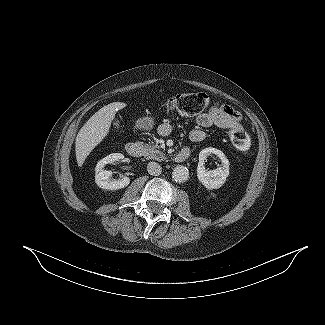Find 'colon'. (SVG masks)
<instances>
[{
  "label": "colon",
  "mask_w": 325,
  "mask_h": 325,
  "mask_svg": "<svg viewBox=\"0 0 325 325\" xmlns=\"http://www.w3.org/2000/svg\"><path fill=\"white\" fill-rule=\"evenodd\" d=\"M210 104V98L203 92L182 93L163 100L162 107L168 111L176 112L181 116H195L203 112ZM230 140L236 150L247 154L251 142L245 130L235 126L229 132Z\"/></svg>",
  "instance_id": "1"
}]
</instances>
